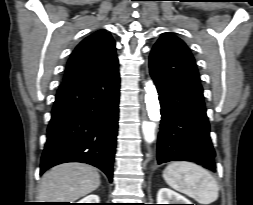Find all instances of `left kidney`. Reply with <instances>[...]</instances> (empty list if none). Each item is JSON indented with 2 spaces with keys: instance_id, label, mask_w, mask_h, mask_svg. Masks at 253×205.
I'll list each match as a JSON object with an SVG mask.
<instances>
[{
  "instance_id": "1",
  "label": "left kidney",
  "mask_w": 253,
  "mask_h": 205,
  "mask_svg": "<svg viewBox=\"0 0 253 205\" xmlns=\"http://www.w3.org/2000/svg\"><path fill=\"white\" fill-rule=\"evenodd\" d=\"M157 204H192V203L181 194L169 188H161L157 193Z\"/></svg>"
}]
</instances>
